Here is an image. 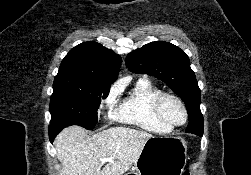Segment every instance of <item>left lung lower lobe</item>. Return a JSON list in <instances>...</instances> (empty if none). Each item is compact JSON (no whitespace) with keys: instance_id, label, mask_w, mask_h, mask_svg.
I'll list each match as a JSON object with an SVG mask.
<instances>
[{"instance_id":"1","label":"left lung lower lobe","mask_w":251,"mask_h":175,"mask_svg":"<svg viewBox=\"0 0 251 175\" xmlns=\"http://www.w3.org/2000/svg\"><path fill=\"white\" fill-rule=\"evenodd\" d=\"M187 111H188L189 120H192L193 117L197 114V111L195 110H187Z\"/></svg>"}]
</instances>
